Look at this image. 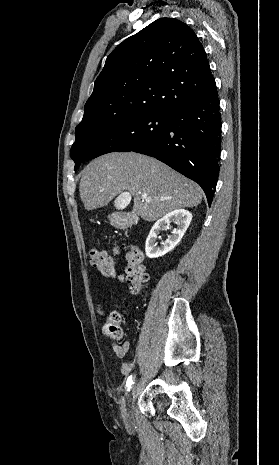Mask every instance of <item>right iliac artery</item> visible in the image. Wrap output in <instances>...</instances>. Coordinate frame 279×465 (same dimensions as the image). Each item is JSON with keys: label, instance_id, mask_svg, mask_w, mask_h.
<instances>
[{"label": "right iliac artery", "instance_id": "1", "mask_svg": "<svg viewBox=\"0 0 279 465\" xmlns=\"http://www.w3.org/2000/svg\"><path fill=\"white\" fill-rule=\"evenodd\" d=\"M134 384L133 377L132 375L128 377L127 382H126V387L128 391L131 389V386Z\"/></svg>", "mask_w": 279, "mask_h": 465}]
</instances>
